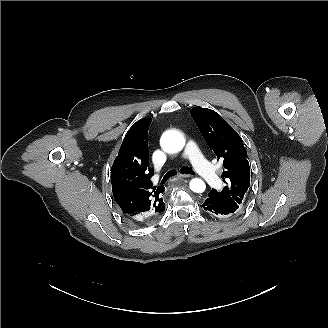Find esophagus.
Returning a JSON list of instances; mask_svg holds the SVG:
<instances>
[{
    "label": "esophagus",
    "instance_id": "34e87169",
    "mask_svg": "<svg viewBox=\"0 0 328 328\" xmlns=\"http://www.w3.org/2000/svg\"><path fill=\"white\" fill-rule=\"evenodd\" d=\"M189 177H191V175H189V174H180V175H178V178H189Z\"/></svg>",
    "mask_w": 328,
    "mask_h": 328
}]
</instances>
